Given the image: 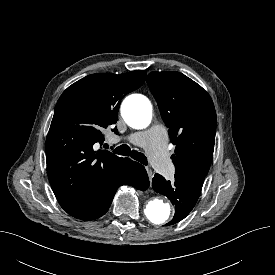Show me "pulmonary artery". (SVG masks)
Returning a JSON list of instances; mask_svg holds the SVG:
<instances>
[{"label":"pulmonary artery","instance_id":"obj_1","mask_svg":"<svg viewBox=\"0 0 275 275\" xmlns=\"http://www.w3.org/2000/svg\"><path fill=\"white\" fill-rule=\"evenodd\" d=\"M134 145L146 149L152 166L161 174L171 176L174 166L167 155L166 132L161 127H153L148 131L135 132L125 137Z\"/></svg>","mask_w":275,"mask_h":275}]
</instances>
